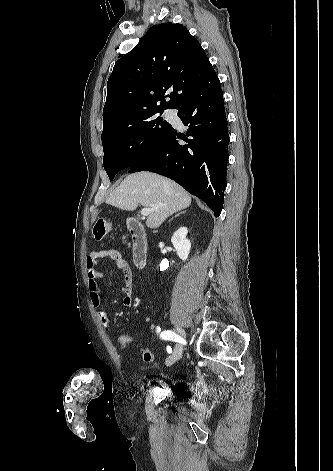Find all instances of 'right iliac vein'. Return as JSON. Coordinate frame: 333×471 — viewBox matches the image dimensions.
Instances as JSON below:
<instances>
[{"label":"right iliac vein","instance_id":"63e3f726","mask_svg":"<svg viewBox=\"0 0 333 471\" xmlns=\"http://www.w3.org/2000/svg\"><path fill=\"white\" fill-rule=\"evenodd\" d=\"M177 331L185 337V332L182 328L177 327ZM183 352V345L182 344H177L173 350V353L169 356V358L166 361L167 366H171L174 364L178 359H180L181 355Z\"/></svg>","mask_w":333,"mask_h":471}]
</instances>
